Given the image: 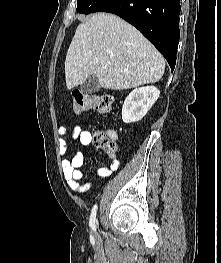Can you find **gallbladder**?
Instances as JSON below:
<instances>
[{"instance_id":"1","label":"gallbladder","mask_w":221,"mask_h":263,"mask_svg":"<svg viewBox=\"0 0 221 263\" xmlns=\"http://www.w3.org/2000/svg\"><path fill=\"white\" fill-rule=\"evenodd\" d=\"M81 91L85 94L96 93L100 89L99 79L96 75H91L81 85Z\"/></svg>"}]
</instances>
